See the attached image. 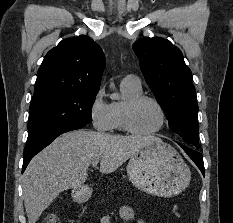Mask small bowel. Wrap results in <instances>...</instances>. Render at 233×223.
<instances>
[{
    "mask_svg": "<svg viewBox=\"0 0 233 223\" xmlns=\"http://www.w3.org/2000/svg\"><path fill=\"white\" fill-rule=\"evenodd\" d=\"M119 216H120V218L122 220H124L126 222H131V221H133L136 218L133 209L130 206H128V205H123L120 208ZM136 222L137 223H146V221L143 218H141V217H138ZM102 223H108V219L104 218L103 221H102Z\"/></svg>",
    "mask_w": 233,
    "mask_h": 223,
    "instance_id": "obj_1",
    "label": "small bowel"
}]
</instances>
